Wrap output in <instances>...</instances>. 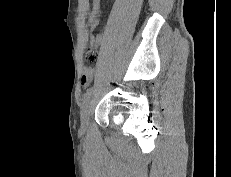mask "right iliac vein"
I'll use <instances>...</instances> for the list:
<instances>
[{
    "label": "right iliac vein",
    "mask_w": 231,
    "mask_h": 177,
    "mask_svg": "<svg viewBox=\"0 0 231 177\" xmlns=\"http://www.w3.org/2000/svg\"><path fill=\"white\" fill-rule=\"evenodd\" d=\"M90 107H91V102H90V99L88 98L84 102V104L82 106L81 116H80V119H81V129L83 131H85L86 128H87L88 118H89V113H90Z\"/></svg>",
    "instance_id": "63e3f726"
}]
</instances>
